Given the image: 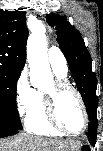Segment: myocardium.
<instances>
[{
    "instance_id": "obj_1",
    "label": "myocardium",
    "mask_w": 103,
    "mask_h": 151,
    "mask_svg": "<svg viewBox=\"0 0 103 151\" xmlns=\"http://www.w3.org/2000/svg\"><path fill=\"white\" fill-rule=\"evenodd\" d=\"M65 91L73 92L75 96L77 97L82 108L83 117H84V125H83V128L78 132H73V131L68 130L59 122L57 118V113H56L57 99H58V96L62 92H65ZM43 95H44V102H45L46 119L49 125L54 130L59 131L63 134L72 135V136H79L87 130L88 125H89V114H88L87 106L83 99V96L81 95V93L76 87L72 86L70 83H68L65 80H57L53 84L52 90L45 91Z\"/></svg>"
}]
</instances>
